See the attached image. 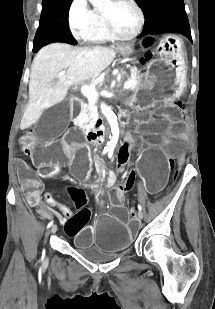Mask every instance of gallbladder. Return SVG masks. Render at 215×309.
I'll use <instances>...</instances> for the list:
<instances>
[{
    "label": "gallbladder",
    "instance_id": "bac80fb5",
    "mask_svg": "<svg viewBox=\"0 0 215 309\" xmlns=\"http://www.w3.org/2000/svg\"><path fill=\"white\" fill-rule=\"evenodd\" d=\"M51 108L46 109L38 125H34V134L40 136L41 140H54L55 136H63L65 125L69 122V115H67V110H71L69 98L62 103H53Z\"/></svg>",
    "mask_w": 215,
    "mask_h": 309
}]
</instances>
